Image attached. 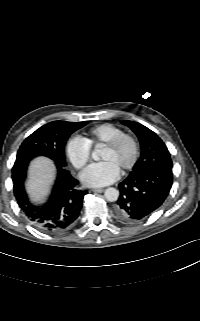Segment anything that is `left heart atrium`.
Returning a JSON list of instances; mask_svg holds the SVG:
<instances>
[{"mask_svg":"<svg viewBox=\"0 0 200 321\" xmlns=\"http://www.w3.org/2000/svg\"><path fill=\"white\" fill-rule=\"evenodd\" d=\"M120 169L111 161L92 163L81 173V181L91 187H101L113 183L119 177Z\"/></svg>","mask_w":200,"mask_h":321,"instance_id":"39dd6f15","label":"left heart atrium"}]
</instances>
